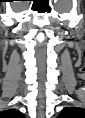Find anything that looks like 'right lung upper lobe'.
Returning <instances> with one entry per match:
<instances>
[{
	"instance_id": "right-lung-upper-lobe-1",
	"label": "right lung upper lobe",
	"mask_w": 85,
	"mask_h": 118,
	"mask_svg": "<svg viewBox=\"0 0 85 118\" xmlns=\"http://www.w3.org/2000/svg\"><path fill=\"white\" fill-rule=\"evenodd\" d=\"M10 112L12 113H17L18 111L17 110H10ZM19 113V112H18Z\"/></svg>"
}]
</instances>
